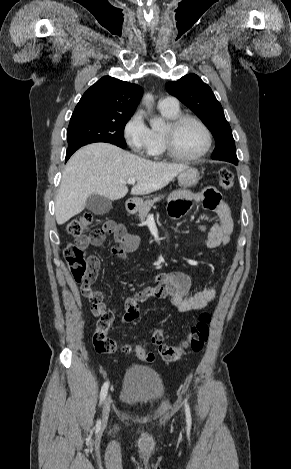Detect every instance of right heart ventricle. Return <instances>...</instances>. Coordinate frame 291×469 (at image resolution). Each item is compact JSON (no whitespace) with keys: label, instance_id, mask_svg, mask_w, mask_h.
I'll return each mask as SVG.
<instances>
[{"label":"right heart ventricle","instance_id":"1","mask_svg":"<svg viewBox=\"0 0 291 469\" xmlns=\"http://www.w3.org/2000/svg\"><path fill=\"white\" fill-rule=\"evenodd\" d=\"M160 112L166 119H172L180 114L178 109H167L159 107ZM152 131V143L147 152V155L154 160H161L165 157V149L162 140V131L153 129Z\"/></svg>","mask_w":291,"mask_h":469}]
</instances>
